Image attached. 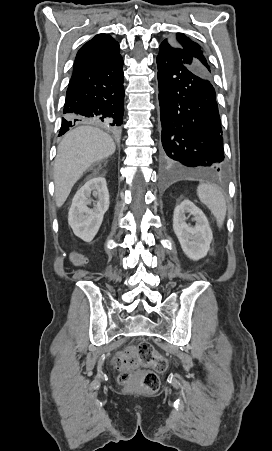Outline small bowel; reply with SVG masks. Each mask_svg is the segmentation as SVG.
<instances>
[{
  "label": "small bowel",
  "instance_id": "1",
  "mask_svg": "<svg viewBox=\"0 0 272 451\" xmlns=\"http://www.w3.org/2000/svg\"><path fill=\"white\" fill-rule=\"evenodd\" d=\"M133 346H134L133 344H130V345L126 346L125 348H131ZM118 356H119V354H118Z\"/></svg>",
  "mask_w": 272,
  "mask_h": 451
}]
</instances>
